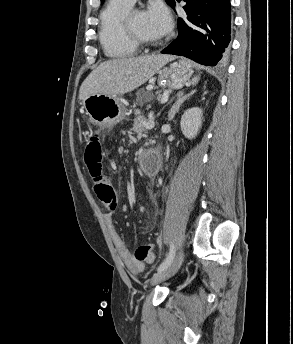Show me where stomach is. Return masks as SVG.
<instances>
[{"instance_id":"stomach-1","label":"stomach","mask_w":293,"mask_h":344,"mask_svg":"<svg viewBox=\"0 0 293 344\" xmlns=\"http://www.w3.org/2000/svg\"><path fill=\"white\" fill-rule=\"evenodd\" d=\"M157 74L160 86L178 89L190 80L192 69L190 64L181 61L160 68ZM82 103L92 122L97 125L116 124L126 116L125 106L118 95L93 94L86 97Z\"/></svg>"}]
</instances>
